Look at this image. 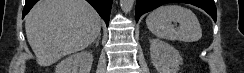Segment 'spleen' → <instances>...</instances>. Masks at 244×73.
I'll list each match as a JSON object with an SVG mask.
<instances>
[{
	"label": "spleen",
	"mask_w": 244,
	"mask_h": 73,
	"mask_svg": "<svg viewBox=\"0 0 244 73\" xmlns=\"http://www.w3.org/2000/svg\"><path fill=\"white\" fill-rule=\"evenodd\" d=\"M172 23H179L176 28ZM151 33L168 41L192 43L202 37V29L196 15L176 4L163 5L152 11L146 18Z\"/></svg>",
	"instance_id": "obj_1"
}]
</instances>
